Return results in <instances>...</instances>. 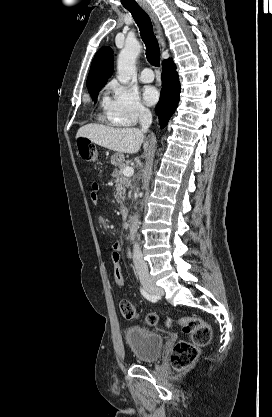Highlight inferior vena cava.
I'll return each mask as SVG.
<instances>
[{"instance_id": "1", "label": "inferior vena cava", "mask_w": 272, "mask_h": 417, "mask_svg": "<svg viewBox=\"0 0 272 417\" xmlns=\"http://www.w3.org/2000/svg\"><path fill=\"white\" fill-rule=\"evenodd\" d=\"M139 121L142 131L146 132L152 123V114L149 109L141 108L139 113ZM133 263L139 276H148V266L143 259V255L139 245L136 243L133 249Z\"/></svg>"}]
</instances>
